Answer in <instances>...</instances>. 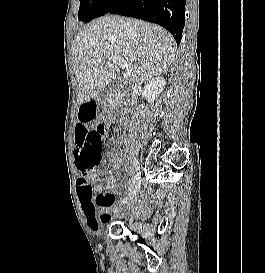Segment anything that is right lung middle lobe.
Returning <instances> with one entry per match:
<instances>
[{
  "instance_id": "obj_1",
  "label": "right lung middle lobe",
  "mask_w": 265,
  "mask_h": 273,
  "mask_svg": "<svg viewBox=\"0 0 265 273\" xmlns=\"http://www.w3.org/2000/svg\"><path fill=\"white\" fill-rule=\"evenodd\" d=\"M117 0H80L78 12L79 21L89 22L92 19L107 14Z\"/></svg>"
}]
</instances>
